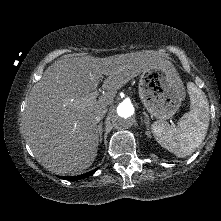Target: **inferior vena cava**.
Segmentation results:
<instances>
[{"instance_id": "inferior-vena-cava-1", "label": "inferior vena cava", "mask_w": 221, "mask_h": 221, "mask_svg": "<svg viewBox=\"0 0 221 221\" xmlns=\"http://www.w3.org/2000/svg\"><path fill=\"white\" fill-rule=\"evenodd\" d=\"M106 113H107V108L100 109L95 117L96 121L99 122L101 119H103Z\"/></svg>"}]
</instances>
